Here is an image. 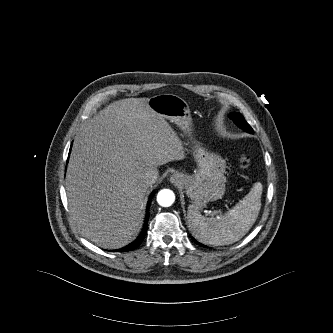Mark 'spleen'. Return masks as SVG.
Listing matches in <instances>:
<instances>
[{"mask_svg":"<svg viewBox=\"0 0 333 333\" xmlns=\"http://www.w3.org/2000/svg\"><path fill=\"white\" fill-rule=\"evenodd\" d=\"M262 184L220 217H205L193 205L188 207V223L193 235L209 245H229L240 240L255 223L261 208Z\"/></svg>","mask_w":333,"mask_h":333,"instance_id":"obj_1","label":"spleen"}]
</instances>
